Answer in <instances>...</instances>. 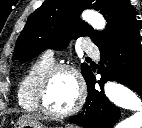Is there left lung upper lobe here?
Here are the masks:
<instances>
[{
	"label": "left lung upper lobe",
	"instance_id": "left-lung-upper-lobe-1",
	"mask_svg": "<svg viewBox=\"0 0 142 128\" xmlns=\"http://www.w3.org/2000/svg\"><path fill=\"white\" fill-rule=\"evenodd\" d=\"M86 8L99 10L107 20L104 32L93 30L79 18ZM137 22L129 0H45L27 20L15 46L13 60L28 61L45 49L66 48L71 38L90 36L101 47ZM90 67L82 64L86 79Z\"/></svg>",
	"mask_w": 142,
	"mask_h": 128
}]
</instances>
